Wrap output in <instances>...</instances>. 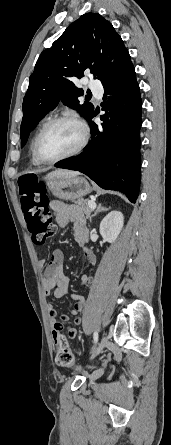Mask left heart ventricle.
Returning <instances> with one entry per match:
<instances>
[{
  "mask_svg": "<svg viewBox=\"0 0 171 445\" xmlns=\"http://www.w3.org/2000/svg\"><path fill=\"white\" fill-rule=\"evenodd\" d=\"M80 138V130L74 123L66 121L54 123L43 133L39 142V152L47 160L56 159L75 149Z\"/></svg>",
  "mask_w": 171,
  "mask_h": 445,
  "instance_id": "left-heart-ventricle-1",
  "label": "left heart ventricle"
}]
</instances>
